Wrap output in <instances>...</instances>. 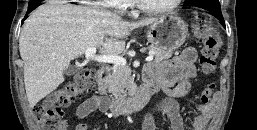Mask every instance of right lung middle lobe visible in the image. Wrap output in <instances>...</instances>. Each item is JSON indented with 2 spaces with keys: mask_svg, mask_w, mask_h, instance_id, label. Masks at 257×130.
Masks as SVG:
<instances>
[{
  "mask_svg": "<svg viewBox=\"0 0 257 130\" xmlns=\"http://www.w3.org/2000/svg\"><path fill=\"white\" fill-rule=\"evenodd\" d=\"M38 2H41V1H38V0H30L29 4H28V7H37L38 6Z\"/></svg>",
  "mask_w": 257,
  "mask_h": 130,
  "instance_id": "right-lung-middle-lobe-1",
  "label": "right lung middle lobe"
}]
</instances>
